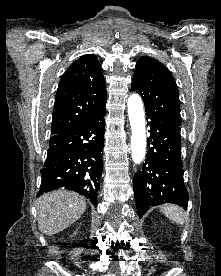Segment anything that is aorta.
Wrapping results in <instances>:
<instances>
[{"mask_svg":"<svg viewBox=\"0 0 221 276\" xmlns=\"http://www.w3.org/2000/svg\"><path fill=\"white\" fill-rule=\"evenodd\" d=\"M127 107L132 130V160L135 164H140L146 152L145 118L141 97L138 94H132L128 98Z\"/></svg>","mask_w":221,"mask_h":276,"instance_id":"aorta-1","label":"aorta"}]
</instances>
